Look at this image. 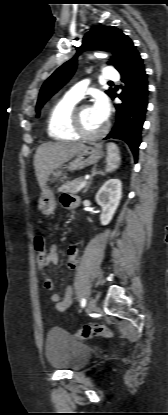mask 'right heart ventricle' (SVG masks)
<instances>
[{"instance_id": "1", "label": "right heart ventricle", "mask_w": 168, "mask_h": 415, "mask_svg": "<svg viewBox=\"0 0 168 415\" xmlns=\"http://www.w3.org/2000/svg\"><path fill=\"white\" fill-rule=\"evenodd\" d=\"M78 100L65 95L51 109L48 117V135L58 141L77 140L79 136L72 127L71 115Z\"/></svg>"}]
</instances>
